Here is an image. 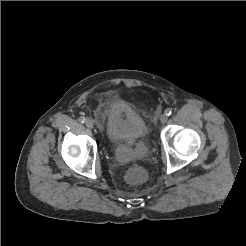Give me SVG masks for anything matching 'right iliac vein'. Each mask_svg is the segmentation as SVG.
Returning <instances> with one entry per match:
<instances>
[{"instance_id":"right-iliac-vein-1","label":"right iliac vein","mask_w":246,"mask_h":246,"mask_svg":"<svg viewBox=\"0 0 246 246\" xmlns=\"http://www.w3.org/2000/svg\"><path fill=\"white\" fill-rule=\"evenodd\" d=\"M85 124L89 129H92L94 127V122L92 120H87Z\"/></svg>"}]
</instances>
